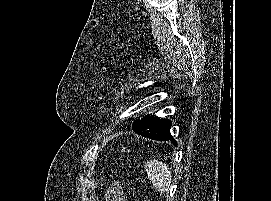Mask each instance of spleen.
<instances>
[{
    "label": "spleen",
    "mask_w": 271,
    "mask_h": 201,
    "mask_svg": "<svg viewBox=\"0 0 271 201\" xmlns=\"http://www.w3.org/2000/svg\"><path fill=\"white\" fill-rule=\"evenodd\" d=\"M148 178L155 189L160 193H165L171 186V172L166 164L156 159H151L145 166Z\"/></svg>",
    "instance_id": "3e777b00"
}]
</instances>
